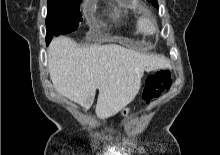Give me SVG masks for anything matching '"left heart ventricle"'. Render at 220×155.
<instances>
[{"instance_id":"left-heart-ventricle-1","label":"left heart ventricle","mask_w":220,"mask_h":155,"mask_svg":"<svg viewBox=\"0 0 220 155\" xmlns=\"http://www.w3.org/2000/svg\"><path fill=\"white\" fill-rule=\"evenodd\" d=\"M146 28H147L148 31H152L153 26H152V24L150 22H147Z\"/></svg>"}]
</instances>
